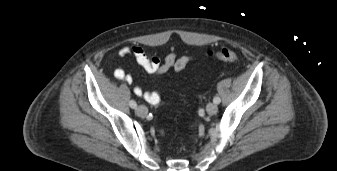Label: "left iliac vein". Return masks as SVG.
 <instances>
[{"instance_id":"obj_1","label":"left iliac vein","mask_w":337,"mask_h":171,"mask_svg":"<svg viewBox=\"0 0 337 171\" xmlns=\"http://www.w3.org/2000/svg\"><path fill=\"white\" fill-rule=\"evenodd\" d=\"M206 111L209 115H214L217 113L218 111V107L216 104L214 103H209L207 106H206Z\"/></svg>"}]
</instances>
